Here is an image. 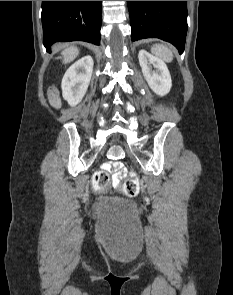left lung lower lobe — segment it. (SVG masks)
Returning a JSON list of instances; mask_svg holds the SVG:
<instances>
[{
  "mask_svg": "<svg viewBox=\"0 0 233 295\" xmlns=\"http://www.w3.org/2000/svg\"><path fill=\"white\" fill-rule=\"evenodd\" d=\"M131 36L155 37L172 43L181 54L187 33V1H127Z\"/></svg>",
  "mask_w": 233,
  "mask_h": 295,
  "instance_id": "left-lung-lower-lobe-1",
  "label": "left lung lower lobe"
}]
</instances>
